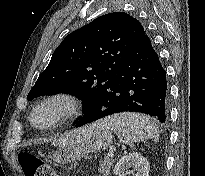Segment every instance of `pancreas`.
<instances>
[{
    "label": "pancreas",
    "mask_w": 205,
    "mask_h": 176,
    "mask_svg": "<svg viewBox=\"0 0 205 176\" xmlns=\"http://www.w3.org/2000/svg\"><path fill=\"white\" fill-rule=\"evenodd\" d=\"M113 163L114 159L107 155L100 164L99 172L102 173L103 176H108Z\"/></svg>",
    "instance_id": "1"
}]
</instances>
